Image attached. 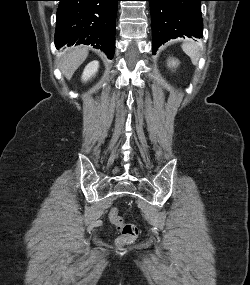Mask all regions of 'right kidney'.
Wrapping results in <instances>:
<instances>
[{
  "mask_svg": "<svg viewBox=\"0 0 250 285\" xmlns=\"http://www.w3.org/2000/svg\"><path fill=\"white\" fill-rule=\"evenodd\" d=\"M99 67V62L98 61H92L90 62L84 69L83 74H82V80L87 81L91 77L95 75Z\"/></svg>",
  "mask_w": 250,
  "mask_h": 285,
  "instance_id": "obj_1",
  "label": "right kidney"
}]
</instances>
